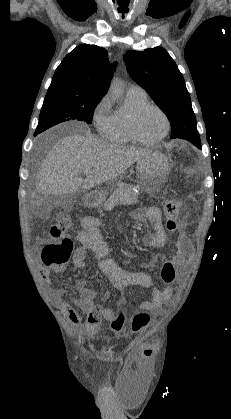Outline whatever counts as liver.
<instances>
[{"mask_svg": "<svg viewBox=\"0 0 231 419\" xmlns=\"http://www.w3.org/2000/svg\"><path fill=\"white\" fill-rule=\"evenodd\" d=\"M149 149L110 144L87 135H69L60 139L43 161L36 190L47 196H61L88 190L115 179ZM91 170L83 179L84 170Z\"/></svg>", "mask_w": 231, "mask_h": 419, "instance_id": "obj_1", "label": "liver"}]
</instances>
